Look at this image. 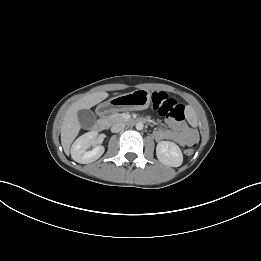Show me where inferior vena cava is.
Returning a JSON list of instances; mask_svg holds the SVG:
<instances>
[{
	"mask_svg": "<svg viewBox=\"0 0 261 261\" xmlns=\"http://www.w3.org/2000/svg\"><path fill=\"white\" fill-rule=\"evenodd\" d=\"M124 128H125V124L123 122H118L111 127V131L113 133H118L122 131Z\"/></svg>",
	"mask_w": 261,
	"mask_h": 261,
	"instance_id": "1",
	"label": "inferior vena cava"
}]
</instances>
